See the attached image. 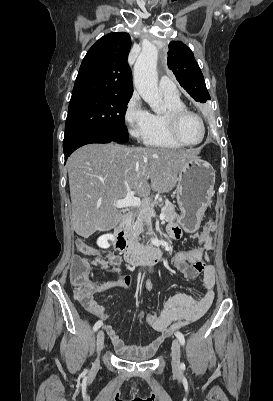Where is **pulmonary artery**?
I'll return each mask as SVG.
<instances>
[{
	"instance_id": "1",
	"label": "pulmonary artery",
	"mask_w": 273,
	"mask_h": 401,
	"mask_svg": "<svg viewBox=\"0 0 273 401\" xmlns=\"http://www.w3.org/2000/svg\"><path fill=\"white\" fill-rule=\"evenodd\" d=\"M160 86L164 95H175L178 93L175 88L176 82L174 80H168V77H165V80L161 81Z\"/></svg>"
}]
</instances>
